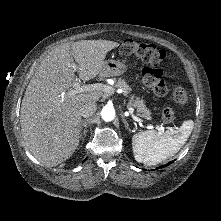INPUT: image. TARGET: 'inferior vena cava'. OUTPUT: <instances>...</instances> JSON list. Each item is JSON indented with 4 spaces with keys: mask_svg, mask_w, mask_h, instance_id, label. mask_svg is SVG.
Listing matches in <instances>:
<instances>
[{
    "mask_svg": "<svg viewBox=\"0 0 221 221\" xmlns=\"http://www.w3.org/2000/svg\"><path fill=\"white\" fill-rule=\"evenodd\" d=\"M97 106L94 102L86 103L82 106L80 114L82 117H91L96 112Z\"/></svg>",
    "mask_w": 221,
    "mask_h": 221,
    "instance_id": "602c4592",
    "label": "inferior vena cava"
}]
</instances>
